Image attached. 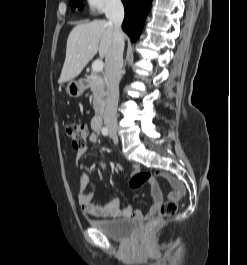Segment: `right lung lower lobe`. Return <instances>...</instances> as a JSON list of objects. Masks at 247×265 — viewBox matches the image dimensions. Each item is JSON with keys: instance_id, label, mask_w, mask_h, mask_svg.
I'll list each match as a JSON object with an SVG mask.
<instances>
[{"instance_id": "1", "label": "right lung lower lobe", "mask_w": 247, "mask_h": 265, "mask_svg": "<svg viewBox=\"0 0 247 265\" xmlns=\"http://www.w3.org/2000/svg\"><path fill=\"white\" fill-rule=\"evenodd\" d=\"M122 2L125 9L122 28L134 42L141 34L152 0H122Z\"/></svg>"}]
</instances>
